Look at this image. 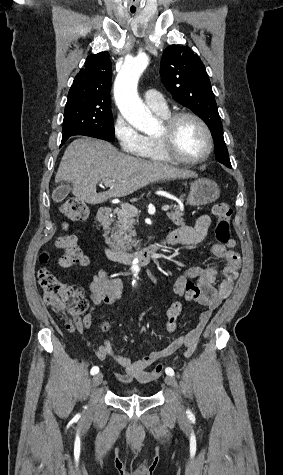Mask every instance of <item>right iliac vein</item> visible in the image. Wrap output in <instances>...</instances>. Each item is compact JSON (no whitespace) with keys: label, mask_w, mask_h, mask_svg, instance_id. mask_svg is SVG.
<instances>
[{"label":"right iliac vein","mask_w":283,"mask_h":475,"mask_svg":"<svg viewBox=\"0 0 283 475\" xmlns=\"http://www.w3.org/2000/svg\"><path fill=\"white\" fill-rule=\"evenodd\" d=\"M102 381H103V375L101 373H98L93 376L92 383L94 387L101 384Z\"/></svg>","instance_id":"63e3f726"}]
</instances>
